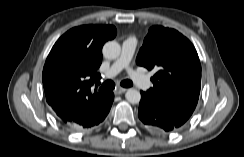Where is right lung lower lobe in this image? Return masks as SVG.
Masks as SVG:
<instances>
[{"label":"right lung lower lobe","instance_id":"98d812e1","mask_svg":"<svg viewBox=\"0 0 244 157\" xmlns=\"http://www.w3.org/2000/svg\"><path fill=\"white\" fill-rule=\"evenodd\" d=\"M113 100L114 94L112 92L107 93L105 101L99 107L94 108L91 112L83 116V118L71 122H64L60 120V122L75 131L90 129L97 126L105 119L110 111Z\"/></svg>","mask_w":244,"mask_h":157}]
</instances>
